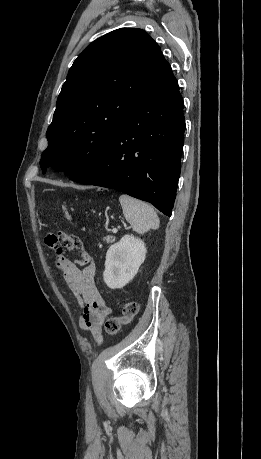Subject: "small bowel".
Listing matches in <instances>:
<instances>
[{
  "label": "small bowel",
  "mask_w": 261,
  "mask_h": 459,
  "mask_svg": "<svg viewBox=\"0 0 261 459\" xmlns=\"http://www.w3.org/2000/svg\"><path fill=\"white\" fill-rule=\"evenodd\" d=\"M45 242L50 248L56 249L57 265L67 286L82 307L80 327L91 332L95 342L101 344V326L111 309L96 285V267L92 256L83 248L78 237L66 232L49 233ZM62 249L75 251L79 257L71 260L63 254Z\"/></svg>",
  "instance_id": "1"
}]
</instances>
